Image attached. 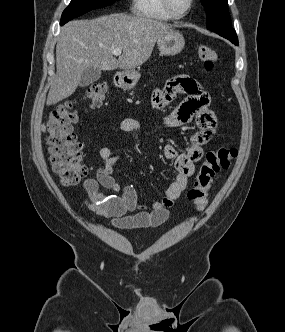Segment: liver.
I'll list each match as a JSON object with an SVG mask.
<instances>
[{"mask_svg":"<svg viewBox=\"0 0 285 332\" xmlns=\"http://www.w3.org/2000/svg\"><path fill=\"white\" fill-rule=\"evenodd\" d=\"M172 31L171 26L160 21L122 13L68 22L57 40L56 76L46 105L71 96L89 67L110 71L142 65L151 56L156 41ZM117 48L122 50L118 59L112 53Z\"/></svg>","mask_w":285,"mask_h":332,"instance_id":"obj_1","label":"liver"}]
</instances>
